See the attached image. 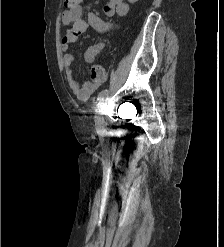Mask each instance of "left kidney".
I'll use <instances>...</instances> for the list:
<instances>
[{"label":"left kidney","instance_id":"5707ae66","mask_svg":"<svg viewBox=\"0 0 224 247\" xmlns=\"http://www.w3.org/2000/svg\"><path fill=\"white\" fill-rule=\"evenodd\" d=\"M128 2H130V4H134V2H138V0H128Z\"/></svg>","mask_w":224,"mask_h":247}]
</instances>
